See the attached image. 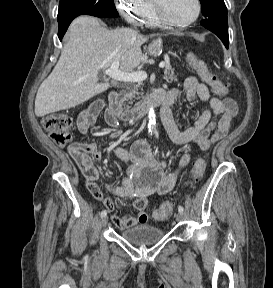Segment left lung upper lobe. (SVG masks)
<instances>
[{
	"mask_svg": "<svg viewBox=\"0 0 273 288\" xmlns=\"http://www.w3.org/2000/svg\"><path fill=\"white\" fill-rule=\"evenodd\" d=\"M202 15L205 19L227 18V8L224 0H200Z\"/></svg>",
	"mask_w": 273,
	"mask_h": 288,
	"instance_id": "5c2ea615",
	"label": "left lung upper lobe"
}]
</instances>
